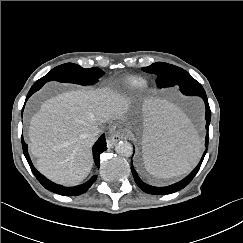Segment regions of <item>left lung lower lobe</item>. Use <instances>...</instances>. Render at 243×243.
Here are the masks:
<instances>
[{
    "instance_id": "0a47b994",
    "label": "left lung lower lobe",
    "mask_w": 243,
    "mask_h": 243,
    "mask_svg": "<svg viewBox=\"0 0 243 243\" xmlns=\"http://www.w3.org/2000/svg\"><path fill=\"white\" fill-rule=\"evenodd\" d=\"M180 90L183 94L188 95V96H200L205 102V106H206L205 119H206V129H207V135L205 137L206 150L204 151L199 164L186 178H184L183 180H181L175 184H172V185L166 186V187H155V186H151V185L144 183L137 175V172L135 171V169L133 168V164L131 163V171L133 173L136 184L144 192L149 193V194H159V195L171 194V193L181 190L185 186H187L192 181V179L194 178L196 173L198 172V170L202 164V161L205 157V154L207 152V149H208V141H209L208 129H209V124H210V120H211V111H210V107L208 104V99H207L205 90L203 89V87L200 83L182 87V88H180Z\"/></svg>"
}]
</instances>
